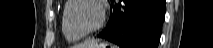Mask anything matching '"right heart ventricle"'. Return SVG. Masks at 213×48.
Segmentation results:
<instances>
[{
	"instance_id": "right-heart-ventricle-1",
	"label": "right heart ventricle",
	"mask_w": 213,
	"mask_h": 48,
	"mask_svg": "<svg viewBox=\"0 0 213 48\" xmlns=\"http://www.w3.org/2000/svg\"><path fill=\"white\" fill-rule=\"evenodd\" d=\"M65 11H66V7L64 8L63 14H62L61 31H62V34L65 37L66 41H68L69 43H74V42H77L78 40H80L81 38L71 34L68 31V29H67V27H66V25L64 23V13H65Z\"/></svg>"
}]
</instances>
